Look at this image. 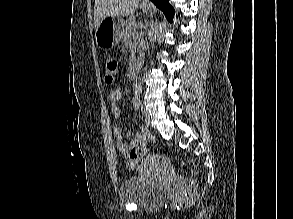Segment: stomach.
Listing matches in <instances>:
<instances>
[{"label": "stomach", "instance_id": "obj_1", "mask_svg": "<svg viewBox=\"0 0 293 219\" xmlns=\"http://www.w3.org/2000/svg\"><path fill=\"white\" fill-rule=\"evenodd\" d=\"M142 9L145 13H153V7L150 4L143 3ZM123 24L118 16L104 18L96 29V44L103 49H110L119 44L123 37Z\"/></svg>", "mask_w": 293, "mask_h": 219}]
</instances>
